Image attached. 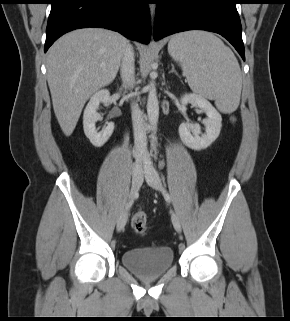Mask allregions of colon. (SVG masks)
<instances>
[{"instance_id": "1", "label": "colon", "mask_w": 290, "mask_h": 321, "mask_svg": "<svg viewBox=\"0 0 290 321\" xmlns=\"http://www.w3.org/2000/svg\"><path fill=\"white\" fill-rule=\"evenodd\" d=\"M147 215L143 211H136L131 218V228L138 235H144L147 231Z\"/></svg>"}]
</instances>
